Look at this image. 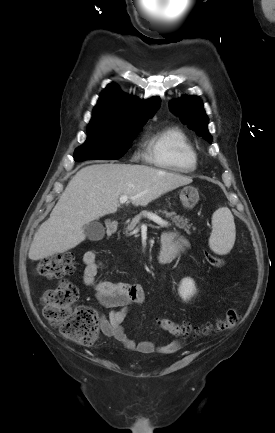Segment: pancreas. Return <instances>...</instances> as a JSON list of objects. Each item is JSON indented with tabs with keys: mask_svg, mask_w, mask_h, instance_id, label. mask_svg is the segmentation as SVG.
I'll use <instances>...</instances> for the list:
<instances>
[{
	"mask_svg": "<svg viewBox=\"0 0 275 433\" xmlns=\"http://www.w3.org/2000/svg\"><path fill=\"white\" fill-rule=\"evenodd\" d=\"M161 212V211H159ZM151 212L149 211H142L140 214H138L137 216H135L132 221L126 226L125 228V233L128 234L129 232H132L136 225L138 224L139 220L143 217L146 216L147 214H150ZM157 213V212H155ZM163 214H165L166 218H170L172 220V222L176 225V227H178L179 229H184L186 232L190 233V228L191 225L188 224V220L176 215V213L172 212V213H167V212H162Z\"/></svg>",
	"mask_w": 275,
	"mask_h": 433,
	"instance_id": "obj_1",
	"label": "pancreas"
}]
</instances>
